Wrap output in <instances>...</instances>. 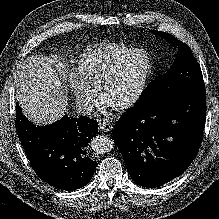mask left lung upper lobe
Masks as SVG:
<instances>
[{
    "label": "left lung upper lobe",
    "mask_w": 219,
    "mask_h": 219,
    "mask_svg": "<svg viewBox=\"0 0 219 219\" xmlns=\"http://www.w3.org/2000/svg\"><path fill=\"white\" fill-rule=\"evenodd\" d=\"M154 33L165 38L170 44L178 46V56L171 68L143 91L134 104V107L140 109L156 107L188 92L205 91L200 65L190 47L168 33L160 31H154Z\"/></svg>",
    "instance_id": "obj_1"
}]
</instances>
